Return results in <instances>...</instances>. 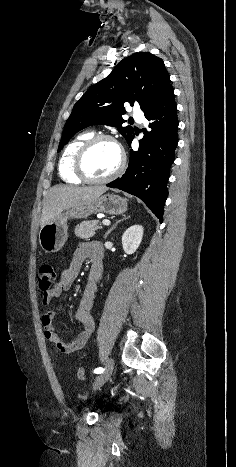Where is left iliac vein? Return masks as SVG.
Listing matches in <instances>:
<instances>
[{
    "mask_svg": "<svg viewBox=\"0 0 236 467\" xmlns=\"http://www.w3.org/2000/svg\"><path fill=\"white\" fill-rule=\"evenodd\" d=\"M114 369V361L109 358L105 364L104 371L99 374L93 382V390L99 389L106 381H108Z\"/></svg>",
    "mask_w": 236,
    "mask_h": 467,
    "instance_id": "obj_1",
    "label": "left iliac vein"
}]
</instances>
